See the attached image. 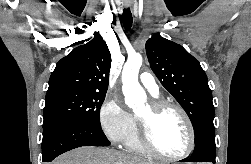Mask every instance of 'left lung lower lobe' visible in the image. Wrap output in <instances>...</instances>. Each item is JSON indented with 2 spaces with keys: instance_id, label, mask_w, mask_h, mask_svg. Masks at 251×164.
<instances>
[{
  "instance_id": "left-lung-lower-lobe-1",
  "label": "left lung lower lobe",
  "mask_w": 251,
  "mask_h": 164,
  "mask_svg": "<svg viewBox=\"0 0 251 164\" xmlns=\"http://www.w3.org/2000/svg\"><path fill=\"white\" fill-rule=\"evenodd\" d=\"M215 140L211 137H202L195 142L191 157L185 162H212L215 164Z\"/></svg>"
}]
</instances>
